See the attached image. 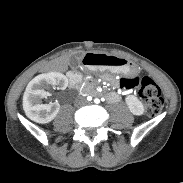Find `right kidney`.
Masks as SVG:
<instances>
[{
	"mask_svg": "<svg viewBox=\"0 0 183 183\" xmlns=\"http://www.w3.org/2000/svg\"><path fill=\"white\" fill-rule=\"evenodd\" d=\"M58 86L64 90L68 86L67 78L58 72H50L32 79L23 96V109L26 116L34 122L46 124L51 122L60 110L59 103L43 104L42 99L47 97L45 89Z\"/></svg>",
	"mask_w": 183,
	"mask_h": 183,
	"instance_id": "1",
	"label": "right kidney"
}]
</instances>
